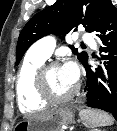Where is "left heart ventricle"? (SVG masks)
<instances>
[{
    "mask_svg": "<svg viewBox=\"0 0 117 131\" xmlns=\"http://www.w3.org/2000/svg\"><path fill=\"white\" fill-rule=\"evenodd\" d=\"M46 80L51 92L57 96L70 93L75 84L71 83L64 75L61 67L52 68L46 73Z\"/></svg>",
    "mask_w": 117,
    "mask_h": 131,
    "instance_id": "obj_1",
    "label": "left heart ventricle"
}]
</instances>
